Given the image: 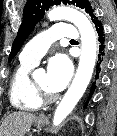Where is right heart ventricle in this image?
I'll return each mask as SVG.
<instances>
[{"label":"right heart ventricle","mask_w":117,"mask_h":136,"mask_svg":"<svg viewBox=\"0 0 117 136\" xmlns=\"http://www.w3.org/2000/svg\"><path fill=\"white\" fill-rule=\"evenodd\" d=\"M34 65V63L21 60L13 73L9 97L12 106L18 110L35 111L41 106L30 77V71Z\"/></svg>","instance_id":"obj_1"}]
</instances>
